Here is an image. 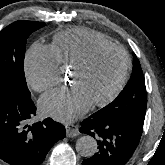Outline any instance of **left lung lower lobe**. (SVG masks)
I'll use <instances>...</instances> for the list:
<instances>
[{"mask_svg":"<svg viewBox=\"0 0 165 165\" xmlns=\"http://www.w3.org/2000/svg\"><path fill=\"white\" fill-rule=\"evenodd\" d=\"M142 130L140 122L91 115L81 123L80 132L97 139L98 151L82 165H125L139 144Z\"/></svg>","mask_w":165,"mask_h":165,"instance_id":"0a47b994","label":"left lung lower lobe"}]
</instances>
